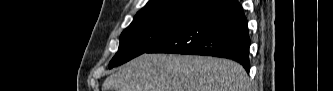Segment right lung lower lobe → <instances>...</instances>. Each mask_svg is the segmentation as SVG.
I'll use <instances>...</instances> for the list:
<instances>
[{
    "mask_svg": "<svg viewBox=\"0 0 333 91\" xmlns=\"http://www.w3.org/2000/svg\"><path fill=\"white\" fill-rule=\"evenodd\" d=\"M247 19L236 0H218L146 53L215 56L239 62L249 73Z\"/></svg>",
    "mask_w": 333,
    "mask_h": 91,
    "instance_id": "1",
    "label": "right lung lower lobe"
}]
</instances>
